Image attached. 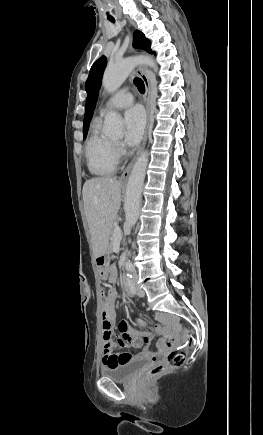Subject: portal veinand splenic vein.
<instances>
[{"instance_id":"18ae733b","label":"portal vein and splenic vein","mask_w":263,"mask_h":435,"mask_svg":"<svg viewBox=\"0 0 263 435\" xmlns=\"http://www.w3.org/2000/svg\"><path fill=\"white\" fill-rule=\"evenodd\" d=\"M113 237L115 240H120L122 237V231L118 225H115V227H114Z\"/></svg>"}]
</instances>
